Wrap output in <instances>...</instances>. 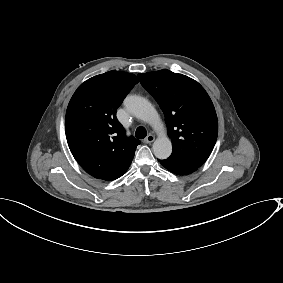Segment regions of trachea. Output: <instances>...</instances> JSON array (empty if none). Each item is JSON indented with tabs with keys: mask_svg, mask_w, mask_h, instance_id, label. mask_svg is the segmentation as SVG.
Instances as JSON below:
<instances>
[{
	"mask_svg": "<svg viewBox=\"0 0 283 283\" xmlns=\"http://www.w3.org/2000/svg\"><path fill=\"white\" fill-rule=\"evenodd\" d=\"M147 135V131L145 129V127L143 126H139L137 129H136V132H135V136L138 138V139H144Z\"/></svg>",
	"mask_w": 283,
	"mask_h": 283,
	"instance_id": "trachea-1",
	"label": "trachea"
}]
</instances>
